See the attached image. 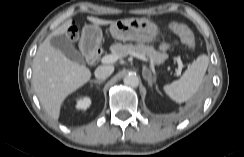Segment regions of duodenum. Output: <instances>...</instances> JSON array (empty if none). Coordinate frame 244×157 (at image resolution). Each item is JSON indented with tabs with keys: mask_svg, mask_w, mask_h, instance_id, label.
Returning a JSON list of instances; mask_svg holds the SVG:
<instances>
[{
	"mask_svg": "<svg viewBox=\"0 0 244 157\" xmlns=\"http://www.w3.org/2000/svg\"><path fill=\"white\" fill-rule=\"evenodd\" d=\"M83 50L86 54L88 63L93 65L99 57L98 51L95 48H92L88 42L83 44Z\"/></svg>",
	"mask_w": 244,
	"mask_h": 157,
	"instance_id": "1",
	"label": "duodenum"
}]
</instances>
